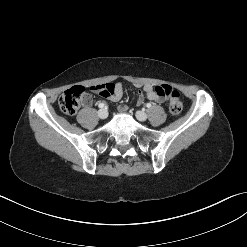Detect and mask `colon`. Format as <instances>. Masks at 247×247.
Listing matches in <instances>:
<instances>
[{
  "mask_svg": "<svg viewBox=\"0 0 247 247\" xmlns=\"http://www.w3.org/2000/svg\"><path fill=\"white\" fill-rule=\"evenodd\" d=\"M94 92L102 94L108 89V84L96 85L91 88ZM138 94L134 102L135 107L143 105L145 97L143 89H138ZM145 96L158 104H165L169 97V111L172 115H179L183 109V103L178 91L173 90L169 85L146 86ZM87 97L86 90L82 86H74L66 90L59 98V107L67 115L75 114Z\"/></svg>",
  "mask_w": 247,
  "mask_h": 247,
  "instance_id": "5ec220e1",
  "label": "colon"
}]
</instances>
